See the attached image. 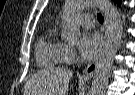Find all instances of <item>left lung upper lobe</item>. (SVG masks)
Returning <instances> with one entry per match:
<instances>
[{
  "label": "left lung upper lobe",
  "mask_w": 135,
  "mask_h": 95,
  "mask_svg": "<svg viewBox=\"0 0 135 95\" xmlns=\"http://www.w3.org/2000/svg\"><path fill=\"white\" fill-rule=\"evenodd\" d=\"M114 1L117 2L118 5L120 4V0H114Z\"/></svg>",
  "instance_id": "1"
}]
</instances>
